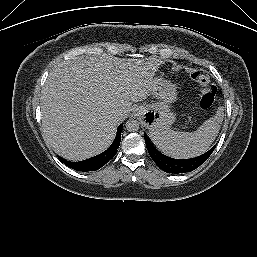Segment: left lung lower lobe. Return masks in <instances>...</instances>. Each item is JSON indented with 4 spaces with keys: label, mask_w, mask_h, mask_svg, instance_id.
<instances>
[{
    "label": "left lung lower lobe",
    "mask_w": 257,
    "mask_h": 257,
    "mask_svg": "<svg viewBox=\"0 0 257 257\" xmlns=\"http://www.w3.org/2000/svg\"><path fill=\"white\" fill-rule=\"evenodd\" d=\"M144 138H145L147 150L151 158L153 159V161L157 164V166L167 173H174V174L185 173V172H190L195 170L209 158V156L212 154V152L216 147L215 145L209 151L194 158L174 159L159 152L153 146V144L151 143L147 135L144 134Z\"/></svg>",
    "instance_id": "obj_1"
}]
</instances>
